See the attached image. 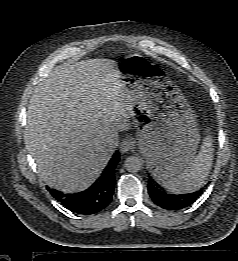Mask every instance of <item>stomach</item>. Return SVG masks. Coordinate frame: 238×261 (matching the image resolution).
<instances>
[{
    "mask_svg": "<svg viewBox=\"0 0 238 261\" xmlns=\"http://www.w3.org/2000/svg\"><path fill=\"white\" fill-rule=\"evenodd\" d=\"M117 69L130 111L137 109L138 145L153 177L164 182L180 174L194 158L200 135L185 96L154 63L126 59Z\"/></svg>",
    "mask_w": 238,
    "mask_h": 261,
    "instance_id": "0dacf381",
    "label": "stomach"
}]
</instances>
